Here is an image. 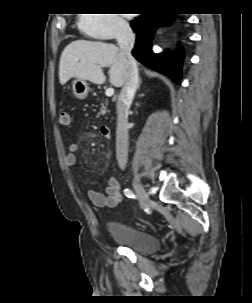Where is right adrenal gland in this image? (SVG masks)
<instances>
[{
	"instance_id": "2a0ac1e0",
	"label": "right adrenal gland",
	"mask_w": 252,
	"mask_h": 303,
	"mask_svg": "<svg viewBox=\"0 0 252 303\" xmlns=\"http://www.w3.org/2000/svg\"><path fill=\"white\" fill-rule=\"evenodd\" d=\"M140 85H141V80L139 81V86H138V89H139Z\"/></svg>"
}]
</instances>
